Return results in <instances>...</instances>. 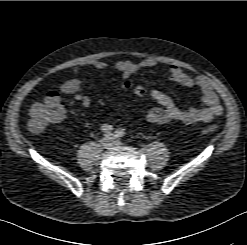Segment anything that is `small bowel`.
<instances>
[{
	"label": "small bowel",
	"mask_w": 247,
	"mask_h": 245,
	"mask_svg": "<svg viewBox=\"0 0 247 245\" xmlns=\"http://www.w3.org/2000/svg\"><path fill=\"white\" fill-rule=\"evenodd\" d=\"M157 65V61L153 58H146L139 62L132 60H121L115 63V69L121 74L122 78L128 79L136 72ZM83 66H90L95 69H106L108 63L104 60H93L87 64L76 66L73 70L77 74ZM169 80L174 83L196 87L201 93V101L205 105L203 108L190 106L188 108L178 107L174 100L166 93L160 90L142 89L141 93H136L142 98L152 100L157 103V107L150 109L146 113V118L154 124H166L171 121H180L185 124L208 123L215 117L223 113V106L220 98L215 92L209 81L202 77L192 76L178 66L172 65L168 74ZM60 93L71 95L76 101H79L84 107H88L91 103L90 98L84 94V83L78 78L64 81L60 84L59 90L49 91L44 101L47 103L58 104L62 110L60 103Z\"/></svg>",
	"instance_id": "obj_1"
}]
</instances>
